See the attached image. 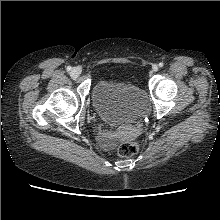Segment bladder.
I'll return each mask as SVG.
<instances>
[{
    "instance_id": "1",
    "label": "bladder",
    "mask_w": 220,
    "mask_h": 220,
    "mask_svg": "<svg viewBox=\"0 0 220 220\" xmlns=\"http://www.w3.org/2000/svg\"><path fill=\"white\" fill-rule=\"evenodd\" d=\"M92 100L107 121L120 126L142 119L150 108L141 87L117 78L98 79L93 87Z\"/></svg>"
}]
</instances>
